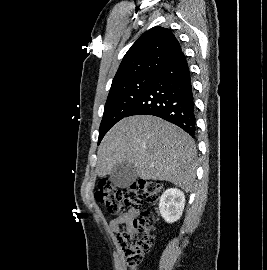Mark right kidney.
I'll list each match as a JSON object with an SVG mask.
<instances>
[{"label": "right kidney", "mask_w": 267, "mask_h": 270, "mask_svg": "<svg viewBox=\"0 0 267 270\" xmlns=\"http://www.w3.org/2000/svg\"><path fill=\"white\" fill-rule=\"evenodd\" d=\"M185 206V195L177 188L164 191L159 201V210L167 223H173L180 219Z\"/></svg>", "instance_id": "right-kidney-1"}]
</instances>
